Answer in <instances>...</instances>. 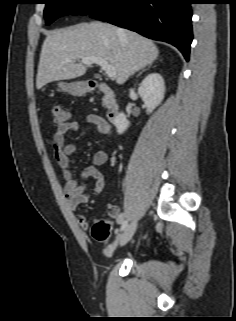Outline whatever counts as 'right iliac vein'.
<instances>
[{
    "mask_svg": "<svg viewBox=\"0 0 236 321\" xmlns=\"http://www.w3.org/2000/svg\"><path fill=\"white\" fill-rule=\"evenodd\" d=\"M137 228V221H132L124 230V232L119 237L118 241L120 246L126 245L133 237Z\"/></svg>",
    "mask_w": 236,
    "mask_h": 321,
    "instance_id": "63e3f726",
    "label": "right iliac vein"
}]
</instances>
